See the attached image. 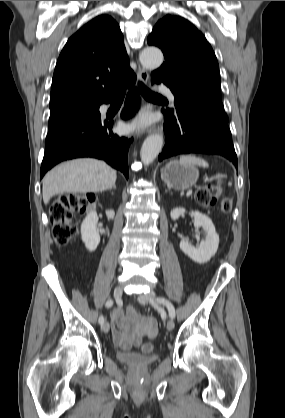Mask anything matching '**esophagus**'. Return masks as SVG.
<instances>
[{"instance_id": "obj_1", "label": "esophagus", "mask_w": 285, "mask_h": 418, "mask_svg": "<svg viewBox=\"0 0 285 418\" xmlns=\"http://www.w3.org/2000/svg\"><path fill=\"white\" fill-rule=\"evenodd\" d=\"M138 77L140 78V80L144 83H146L149 79V74L147 72V70H145L142 67H138ZM149 133H161L162 132V128L160 126H152L148 129Z\"/></svg>"}]
</instances>
